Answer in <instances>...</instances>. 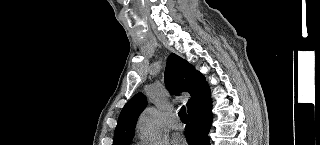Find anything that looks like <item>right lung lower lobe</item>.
Instances as JSON below:
<instances>
[{"mask_svg": "<svg viewBox=\"0 0 320 145\" xmlns=\"http://www.w3.org/2000/svg\"><path fill=\"white\" fill-rule=\"evenodd\" d=\"M212 104L209 88L201 101L188 111L189 125L185 135L189 145H210L208 133L212 123Z\"/></svg>", "mask_w": 320, "mask_h": 145, "instance_id": "right-lung-lower-lobe-1", "label": "right lung lower lobe"}]
</instances>
